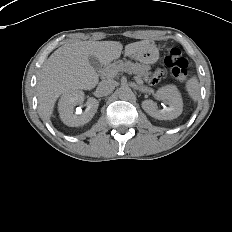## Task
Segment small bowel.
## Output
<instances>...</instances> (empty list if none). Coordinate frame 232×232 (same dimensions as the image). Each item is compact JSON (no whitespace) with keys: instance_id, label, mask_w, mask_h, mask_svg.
Listing matches in <instances>:
<instances>
[{"instance_id":"1","label":"small bowel","mask_w":232,"mask_h":232,"mask_svg":"<svg viewBox=\"0 0 232 232\" xmlns=\"http://www.w3.org/2000/svg\"><path fill=\"white\" fill-rule=\"evenodd\" d=\"M167 73V68L165 65L160 64L157 66V68L154 69L152 76H150L146 84L148 87L153 88L155 87L159 82L162 81L163 77Z\"/></svg>"}]
</instances>
